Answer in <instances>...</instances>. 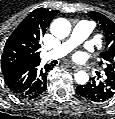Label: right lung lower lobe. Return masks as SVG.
<instances>
[{"instance_id": "1", "label": "right lung lower lobe", "mask_w": 115, "mask_h": 119, "mask_svg": "<svg viewBox=\"0 0 115 119\" xmlns=\"http://www.w3.org/2000/svg\"><path fill=\"white\" fill-rule=\"evenodd\" d=\"M40 63L27 64L3 73L6 85L17 95L36 98L47 88L46 71L39 67Z\"/></svg>"}]
</instances>
